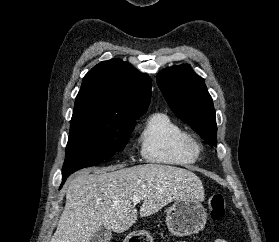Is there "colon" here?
Returning <instances> with one entry per match:
<instances>
[{
    "label": "colon",
    "instance_id": "5ec220e1",
    "mask_svg": "<svg viewBox=\"0 0 279 242\" xmlns=\"http://www.w3.org/2000/svg\"><path fill=\"white\" fill-rule=\"evenodd\" d=\"M207 207L210 217L215 221H220L225 215V199L221 193H214L207 198Z\"/></svg>",
    "mask_w": 279,
    "mask_h": 242
}]
</instances>
